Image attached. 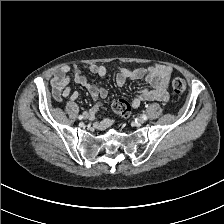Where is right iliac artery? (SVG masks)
<instances>
[{"label":"right iliac artery","instance_id":"82829eb1","mask_svg":"<svg viewBox=\"0 0 224 224\" xmlns=\"http://www.w3.org/2000/svg\"><path fill=\"white\" fill-rule=\"evenodd\" d=\"M84 113H85V112H84ZM84 113H83V114H84ZM78 118H79L80 120L83 119V115H80Z\"/></svg>","mask_w":224,"mask_h":224}]
</instances>
